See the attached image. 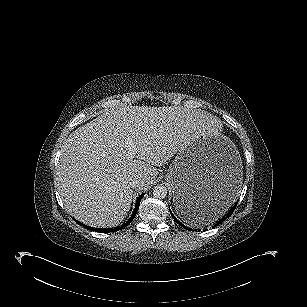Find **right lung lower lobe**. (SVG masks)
<instances>
[{"instance_id":"right-lung-lower-lobe-1","label":"right lung lower lobe","mask_w":307,"mask_h":307,"mask_svg":"<svg viewBox=\"0 0 307 307\" xmlns=\"http://www.w3.org/2000/svg\"><path fill=\"white\" fill-rule=\"evenodd\" d=\"M144 194L140 195L138 198H137V201H136V206H135V209H134V212L132 214V216L130 217V219L124 223L123 225H121L120 227H117V228H112V229H94V228H91V227H88V226H85L83 225V227H86L87 229H90V230H96L97 232H114V231H118V230H121L123 228H125L126 226H128L131 221L134 219L135 215L137 214V211L139 209V205H140V201L141 199L143 198ZM75 220V219H74ZM76 221V220H75ZM79 225H82L80 222L76 221Z\"/></svg>"}]
</instances>
